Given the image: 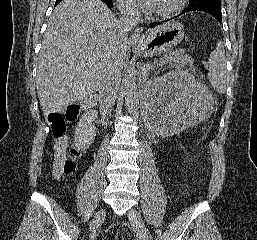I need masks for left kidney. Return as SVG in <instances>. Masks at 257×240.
<instances>
[{"mask_svg": "<svg viewBox=\"0 0 257 240\" xmlns=\"http://www.w3.org/2000/svg\"><path fill=\"white\" fill-rule=\"evenodd\" d=\"M208 94L184 71H171L150 80L143 90L144 116L151 132L166 137L206 118Z\"/></svg>", "mask_w": 257, "mask_h": 240, "instance_id": "5707ae66", "label": "left kidney"}]
</instances>
